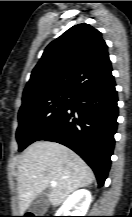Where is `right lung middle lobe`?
<instances>
[{
    "label": "right lung middle lobe",
    "mask_w": 132,
    "mask_h": 217,
    "mask_svg": "<svg viewBox=\"0 0 132 217\" xmlns=\"http://www.w3.org/2000/svg\"><path fill=\"white\" fill-rule=\"evenodd\" d=\"M74 97L73 93L58 92L23 98L18 113L19 126L16 132L19 151L37 141L49 130L71 105Z\"/></svg>",
    "instance_id": "dd1d6c3e"
}]
</instances>
